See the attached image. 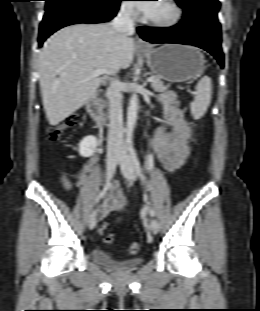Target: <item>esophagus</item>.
I'll return each instance as SVG.
<instances>
[{
	"instance_id": "esophagus-1",
	"label": "esophagus",
	"mask_w": 260,
	"mask_h": 311,
	"mask_svg": "<svg viewBox=\"0 0 260 311\" xmlns=\"http://www.w3.org/2000/svg\"><path fill=\"white\" fill-rule=\"evenodd\" d=\"M137 46H140V47H144V48H147L148 45L146 44V42L144 40H142L141 38H138L137 40Z\"/></svg>"
}]
</instances>
